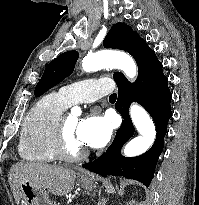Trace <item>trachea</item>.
<instances>
[{
	"instance_id": "3493384b",
	"label": "trachea",
	"mask_w": 199,
	"mask_h": 205,
	"mask_svg": "<svg viewBox=\"0 0 199 205\" xmlns=\"http://www.w3.org/2000/svg\"><path fill=\"white\" fill-rule=\"evenodd\" d=\"M116 98H117L116 93H113L109 96V99H111V100H116Z\"/></svg>"
}]
</instances>
